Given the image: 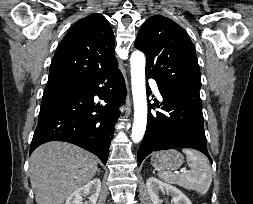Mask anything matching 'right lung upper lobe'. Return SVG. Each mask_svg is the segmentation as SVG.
<instances>
[{
	"instance_id": "obj_1",
	"label": "right lung upper lobe",
	"mask_w": 253,
	"mask_h": 204,
	"mask_svg": "<svg viewBox=\"0 0 253 204\" xmlns=\"http://www.w3.org/2000/svg\"><path fill=\"white\" fill-rule=\"evenodd\" d=\"M118 67L113 31L94 13L77 21L57 47L48 82L81 83Z\"/></svg>"
}]
</instances>
